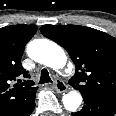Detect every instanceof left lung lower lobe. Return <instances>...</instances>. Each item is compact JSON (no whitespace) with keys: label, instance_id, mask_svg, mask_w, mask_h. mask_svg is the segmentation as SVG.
<instances>
[{"label":"left lung lower lobe","instance_id":"0a47b994","mask_svg":"<svg viewBox=\"0 0 116 116\" xmlns=\"http://www.w3.org/2000/svg\"><path fill=\"white\" fill-rule=\"evenodd\" d=\"M83 108L72 116H113L116 114V98L83 95Z\"/></svg>","mask_w":116,"mask_h":116}]
</instances>
